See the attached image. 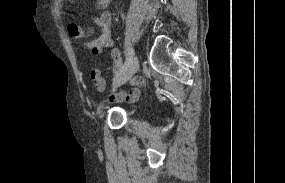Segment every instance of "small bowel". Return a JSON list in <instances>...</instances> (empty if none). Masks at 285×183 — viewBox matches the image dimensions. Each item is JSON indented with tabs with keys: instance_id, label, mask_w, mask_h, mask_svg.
Masks as SVG:
<instances>
[{
	"instance_id": "obj_1",
	"label": "small bowel",
	"mask_w": 285,
	"mask_h": 183,
	"mask_svg": "<svg viewBox=\"0 0 285 183\" xmlns=\"http://www.w3.org/2000/svg\"><path fill=\"white\" fill-rule=\"evenodd\" d=\"M110 1L111 0H96V7L100 10V13L98 15L93 16V22L101 29L102 34L98 39L89 42L88 46L94 55H99L105 50H111V58L113 60L112 71L114 75L117 76L122 69L123 60L121 52L114 47V43L111 38L112 17L109 11L107 10ZM90 77L93 83L95 84L96 89L99 92H105L106 81L102 75V72L97 68H93L90 71ZM130 84L133 87L128 93L114 94L110 97V102H121L124 98H127L130 101L136 100L139 97L140 86L143 84V80L141 78H134L130 81Z\"/></svg>"
}]
</instances>
